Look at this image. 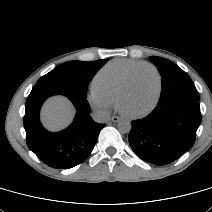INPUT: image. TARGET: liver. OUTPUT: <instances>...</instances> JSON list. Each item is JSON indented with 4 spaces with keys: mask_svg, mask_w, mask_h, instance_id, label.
<instances>
[{
    "mask_svg": "<svg viewBox=\"0 0 212 212\" xmlns=\"http://www.w3.org/2000/svg\"><path fill=\"white\" fill-rule=\"evenodd\" d=\"M73 115L71 103L63 97L49 99L41 112L44 125L53 131L65 127L72 120Z\"/></svg>",
    "mask_w": 212,
    "mask_h": 212,
    "instance_id": "6515ba94",
    "label": "liver"
}]
</instances>
